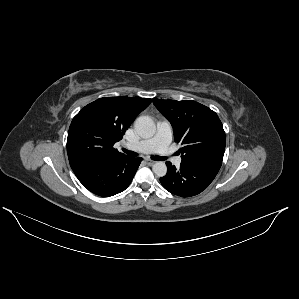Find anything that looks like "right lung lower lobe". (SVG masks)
I'll return each mask as SVG.
<instances>
[{"mask_svg": "<svg viewBox=\"0 0 299 299\" xmlns=\"http://www.w3.org/2000/svg\"><path fill=\"white\" fill-rule=\"evenodd\" d=\"M142 158L127 156L98 160L73 169L75 175L92 193L113 196L125 190L131 183Z\"/></svg>", "mask_w": 299, "mask_h": 299, "instance_id": "obj_1", "label": "right lung lower lobe"}]
</instances>
